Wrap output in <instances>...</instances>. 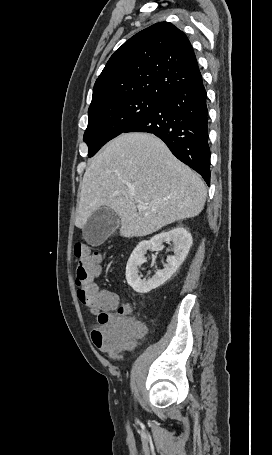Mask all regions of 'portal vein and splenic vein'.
Instances as JSON below:
<instances>
[{
    "label": "portal vein and splenic vein",
    "mask_w": 272,
    "mask_h": 455,
    "mask_svg": "<svg viewBox=\"0 0 272 455\" xmlns=\"http://www.w3.org/2000/svg\"><path fill=\"white\" fill-rule=\"evenodd\" d=\"M133 195H134V193L131 192V193H130V196H133ZM137 208H138L139 210H142V209H145V206H144L143 204H141V203H138V204H137Z\"/></svg>",
    "instance_id": "obj_1"
}]
</instances>
